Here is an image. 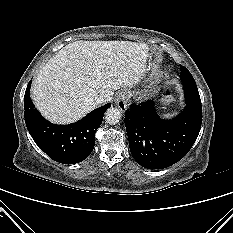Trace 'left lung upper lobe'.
I'll use <instances>...</instances> for the list:
<instances>
[{"instance_id": "5c2ea615", "label": "left lung upper lobe", "mask_w": 233, "mask_h": 233, "mask_svg": "<svg viewBox=\"0 0 233 233\" xmlns=\"http://www.w3.org/2000/svg\"><path fill=\"white\" fill-rule=\"evenodd\" d=\"M181 72H180V77H181V81L183 84H195V80L193 78V76L191 75V73L184 67L181 66Z\"/></svg>"}]
</instances>
